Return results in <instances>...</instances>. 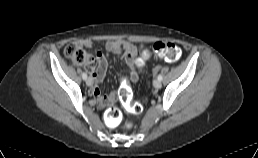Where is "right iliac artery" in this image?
<instances>
[{"label": "right iliac artery", "mask_w": 258, "mask_h": 158, "mask_svg": "<svg viewBox=\"0 0 258 158\" xmlns=\"http://www.w3.org/2000/svg\"><path fill=\"white\" fill-rule=\"evenodd\" d=\"M82 78H83L84 80H86V79H87V74H86V73H82Z\"/></svg>", "instance_id": "82829eb1"}]
</instances>
